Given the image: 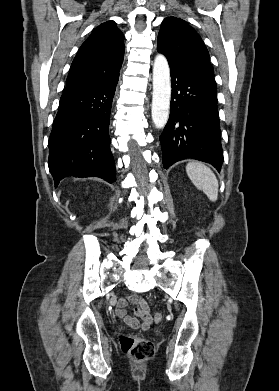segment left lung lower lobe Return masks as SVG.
I'll return each instance as SVG.
<instances>
[{
	"label": "left lung lower lobe",
	"instance_id": "0a47b994",
	"mask_svg": "<svg viewBox=\"0 0 279 391\" xmlns=\"http://www.w3.org/2000/svg\"><path fill=\"white\" fill-rule=\"evenodd\" d=\"M171 110L160 136L163 166L192 158L220 171L223 151L220 139L217 89L182 69L171 67Z\"/></svg>",
	"mask_w": 279,
	"mask_h": 391
}]
</instances>
